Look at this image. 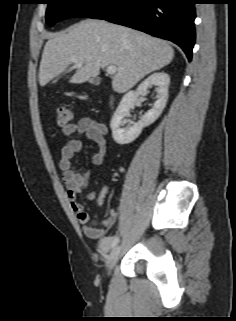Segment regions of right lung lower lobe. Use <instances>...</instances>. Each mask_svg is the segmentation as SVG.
Returning a JSON list of instances; mask_svg holds the SVG:
<instances>
[{"mask_svg": "<svg viewBox=\"0 0 236 321\" xmlns=\"http://www.w3.org/2000/svg\"><path fill=\"white\" fill-rule=\"evenodd\" d=\"M196 0H111L89 18L103 19L170 40L192 57Z\"/></svg>", "mask_w": 236, "mask_h": 321, "instance_id": "obj_1", "label": "right lung lower lobe"}]
</instances>
